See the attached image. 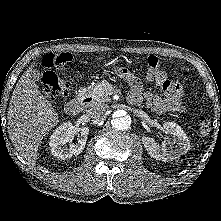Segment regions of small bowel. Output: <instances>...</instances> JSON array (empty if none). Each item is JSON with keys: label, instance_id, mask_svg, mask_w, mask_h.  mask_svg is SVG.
Here are the masks:
<instances>
[{"label": "small bowel", "instance_id": "1", "mask_svg": "<svg viewBox=\"0 0 221 221\" xmlns=\"http://www.w3.org/2000/svg\"><path fill=\"white\" fill-rule=\"evenodd\" d=\"M118 75L130 86L128 100L132 104H139L144 100L147 106L157 114L184 111L182 104L184 92L179 82L168 79L165 85L156 82L162 87V93L154 94L150 91L143 92L141 80L127 69H119Z\"/></svg>", "mask_w": 221, "mask_h": 221}]
</instances>
